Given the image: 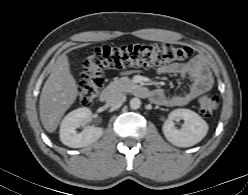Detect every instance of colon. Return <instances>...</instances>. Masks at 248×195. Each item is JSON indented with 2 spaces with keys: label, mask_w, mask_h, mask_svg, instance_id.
I'll return each instance as SVG.
<instances>
[{
  "label": "colon",
  "mask_w": 248,
  "mask_h": 195,
  "mask_svg": "<svg viewBox=\"0 0 248 195\" xmlns=\"http://www.w3.org/2000/svg\"><path fill=\"white\" fill-rule=\"evenodd\" d=\"M189 46H175L170 43L150 45H127L121 47H97L84 61L82 80L78 88L79 105L90 106L104 85L103 72L106 69L129 67L149 68L185 60L192 56ZM219 100L214 95H202L199 98L200 114L209 118L217 109Z\"/></svg>",
  "instance_id": "obj_1"
}]
</instances>
